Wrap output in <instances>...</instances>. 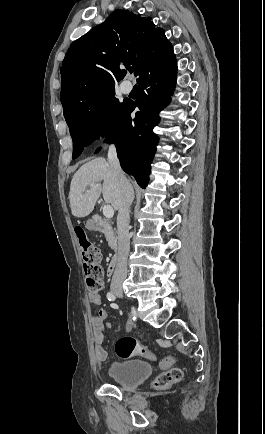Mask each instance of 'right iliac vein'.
<instances>
[{
  "label": "right iliac vein",
  "mask_w": 265,
  "mask_h": 434,
  "mask_svg": "<svg viewBox=\"0 0 265 434\" xmlns=\"http://www.w3.org/2000/svg\"><path fill=\"white\" fill-rule=\"evenodd\" d=\"M113 291H114L115 293H122V292H123V289H122L121 287H113Z\"/></svg>",
  "instance_id": "1"
}]
</instances>
